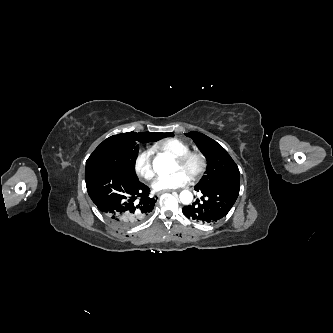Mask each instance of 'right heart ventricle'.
<instances>
[{
	"label": "right heart ventricle",
	"instance_id": "1",
	"mask_svg": "<svg viewBox=\"0 0 333 333\" xmlns=\"http://www.w3.org/2000/svg\"><path fill=\"white\" fill-rule=\"evenodd\" d=\"M154 149L170 155L173 158H178L190 151L188 144L177 138L159 141L154 145Z\"/></svg>",
	"mask_w": 333,
	"mask_h": 333
}]
</instances>
